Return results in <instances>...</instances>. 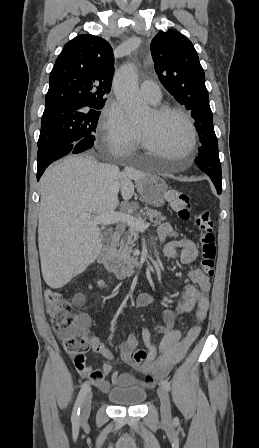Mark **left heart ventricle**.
<instances>
[{"label": "left heart ventricle", "mask_w": 259, "mask_h": 448, "mask_svg": "<svg viewBox=\"0 0 259 448\" xmlns=\"http://www.w3.org/2000/svg\"><path fill=\"white\" fill-rule=\"evenodd\" d=\"M154 143L161 149L158 156L183 160L184 148L189 141V129L185 121L175 114L155 118L152 110L139 123Z\"/></svg>", "instance_id": "left-heart-ventricle-1"}]
</instances>
